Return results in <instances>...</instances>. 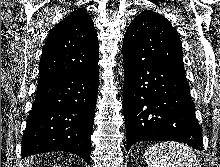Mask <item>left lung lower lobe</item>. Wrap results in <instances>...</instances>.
I'll use <instances>...</instances> for the list:
<instances>
[{"instance_id":"obj_1","label":"left lung lower lobe","mask_w":220,"mask_h":167,"mask_svg":"<svg viewBox=\"0 0 220 167\" xmlns=\"http://www.w3.org/2000/svg\"><path fill=\"white\" fill-rule=\"evenodd\" d=\"M127 149L139 141H178L203 150L184 72L123 55Z\"/></svg>"}]
</instances>
